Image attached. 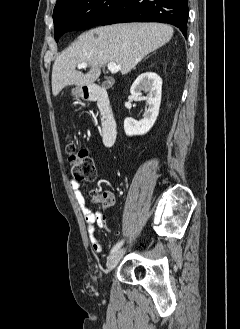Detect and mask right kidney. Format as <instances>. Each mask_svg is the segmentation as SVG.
I'll return each instance as SVG.
<instances>
[{
  "instance_id": "1",
  "label": "right kidney",
  "mask_w": 240,
  "mask_h": 329,
  "mask_svg": "<svg viewBox=\"0 0 240 329\" xmlns=\"http://www.w3.org/2000/svg\"><path fill=\"white\" fill-rule=\"evenodd\" d=\"M142 91L147 93L143 100L149 105L144 118L136 121L133 118H126L124 131L127 136L144 135L154 125L159 114L162 92V79L153 72H146L137 77L131 86L130 92L133 96L140 97Z\"/></svg>"
}]
</instances>
